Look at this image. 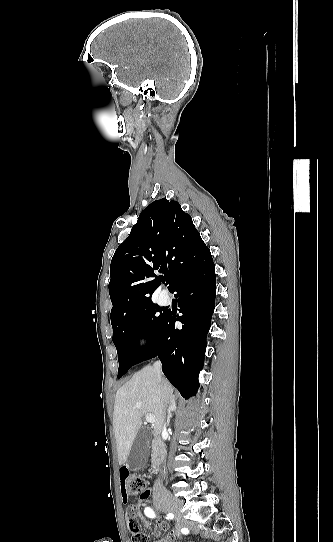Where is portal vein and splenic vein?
I'll return each mask as SVG.
<instances>
[{
  "instance_id": "obj_1",
  "label": "portal vein and splenic vein",
  "mask_w": 333,
  "mask_h": 542,
  "mask_svg": "<svg viewBox=\"0 0 333 542\" xmlns=\"http://www.w3.org/2000/svg\"><path fill=\"white\" fill-rule=\"evenodd\" d=\"M145 420L147 424H154L155 416H153V414H147V416H145Z\"/></svg>"
}]
</instances>
